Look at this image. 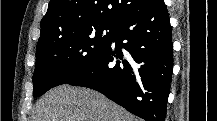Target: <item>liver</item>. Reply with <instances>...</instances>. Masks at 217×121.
<instances>
[{"mask_svg":"<svg viewBox=\"0 0 217 121\" xmlns=\"http://www.w3.org/2000/svg\"><path fill=\"white\" fill-rule=\"evenodd\" d=\"M33 121H135L123 107L87 88L61 85L36 102Z\"/></svg>","mask_w":217,"mask_h":121,"instance_id":"6515ba94","label":"liver"}]
</instances>
